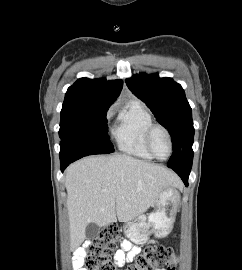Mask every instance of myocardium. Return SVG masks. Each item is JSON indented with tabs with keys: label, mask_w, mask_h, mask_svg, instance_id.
Wrapping results in <instances>:
<instances>
[{
	"label": "myocardium",
	"mask_w": 242,
	"mask_h": 270,
	"mask_svg": "<svg viewBox=\"0 0 242 270\" xmlns=\"http://www.w3.org/2000/svg\"><path fill=\"white\" fill-rule=\"evenodd\" d=\"M162 130L167 138H168V141H169V153L168 155L165 157V158H160L158 157L154 150H153V147H152V137H153V134L156 130ZM145 144H146V147L148 149V151L150 152V154L153 156V158L157 159V160H160V161H163V160H166L168 159L172 153H173V140H172V136H171V133L170 131L164 126V125H161V124H157V123H153L147 130L146 132V136H145Z\"/></svg>",
	"instance_id": "myocardium-1"
}]
</instances>
